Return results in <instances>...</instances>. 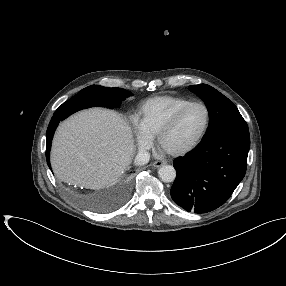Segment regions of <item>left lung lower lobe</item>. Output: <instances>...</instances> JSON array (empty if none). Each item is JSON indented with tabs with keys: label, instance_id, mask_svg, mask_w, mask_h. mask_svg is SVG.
Wrapping results in <instances>:
<instances>
[{
	"label": "left lung lower lobe",
	"instance_id": "obj_1",
	"mask_svg": "<svg viewBox=\"0 0 286 286\" xmlns=\"http://www.w3.org/2000/svg\"><path fill=\"white\" fill-rule=\"evenodd\" d=\"M249 130H222L203 137L185 157L174 160L176 179L170 190L186 211L206 213L224 204L246 172Z\"/></svg>",
	"mask_w": 286,
	"mask_h": 286
}]
</instances>
